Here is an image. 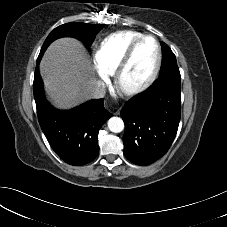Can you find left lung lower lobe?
<instances>
[{"instance_id":"1","label":"left lung lower lobe","mask_w":227,"mask_h":227,"mask_svg":"<svg viewBox=\"0 0 227 227\" xmlns=\"http://www.w3.org/2000/svg\"><path fill=\"white\" fill-rule=\"evenodd\" d=\"M181 114L180 86L153 84L121 110L124 155L137 165L161 158L173 143Z\"/></svg>"}]
</instances>
